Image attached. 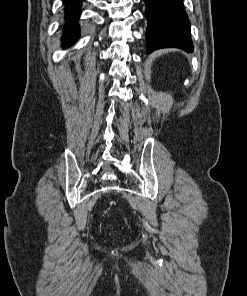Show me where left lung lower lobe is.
Masks as SVG:
<instances>
[{"label":"left lung lower lobe","instance_id":"0a47b994","mask_svg":"<svg viewBox=\"0 0 247 296\" xmlns=\"http://www.w3.org/2000/svg\"><path fill=\"white\" fill-rule=\"evenodd\" d=\"M143 1L146 3L145 16L148 20L147 53L165 47L192 52L191 27L183 0Z\"/></svg>","mask_w":247,"mask_h":296}]
</instances>
